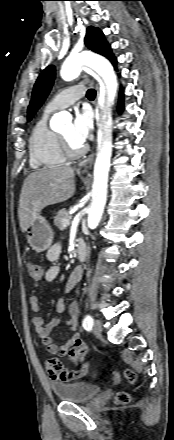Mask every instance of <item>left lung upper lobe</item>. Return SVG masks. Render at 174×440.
I'll return each mask as SVG.
<instances>
[{
	"mask_svg": "<svg viewBox=\"0 0 174 440\" xmlns=\"http://www.w3.org/2000/svg\"><path fill=\"white\" fill-rule=\"evenodd\" d=\"M85 44L92 51L105 56L109 60L114 56L108 42L104 38L102 31L93 26H89L86 31ZM55 79V67H46L39 75L33 89L32 98L28 107V121L32 119L36 111L45 101Z\"/></svg>",
	"mask_w": 174,
	"mask_h": 440,
	"instance_id": "obj_1",
	"label": "left lung upper lobe"
}]
</instances>
